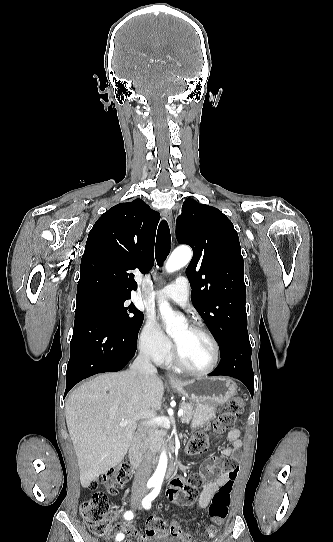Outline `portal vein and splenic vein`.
Instances as JSON below:
<instances>
[{
	"mask_svg": "<svg viewBox=\"0 0 333 542\" xmlns=\"http://www.w3.org/2000/svg\"><path fill=\"white\" fill-rule=\"evenodd\" d=\"M184 410H178L177 416H183ZM155 416V410H151V412H142L141 416H136V418H154ZM129 422L128 420H121L120 426H128Z\"/></svg>",
	"mask_w": 333,
	"mask_h": 542,
	"instance_id": "obj_1",
	"label": "portal vein and splenic vein"
}]
</instances>
